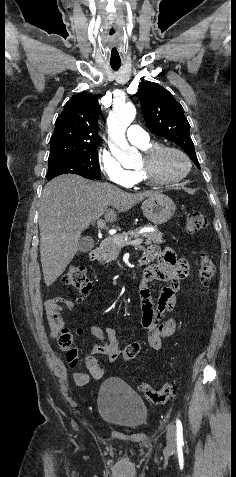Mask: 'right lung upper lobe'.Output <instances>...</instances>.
Wrapping results in <instances>:
<instances>
[{
    "label": "right lung upper lobe",
    "mask_w": 236,
    "mask_h": 477,
    "mask_svg": "<svg viewBox=\"0 0 236 477\" xmlns=\"http://www.w3.org/2000/svg\"><path fill=\"white\" fill-rule=\"evenodd\" d=\"M50 145L49 161L99 145L97 101L93 94L78 93L66 103Z\"/></svg>",
    "instance_id": "obj_1"
}]
</instances>
